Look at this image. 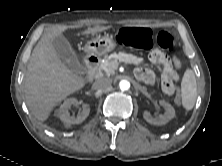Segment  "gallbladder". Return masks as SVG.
Listing matches in <instances>:
<instances>
[{"label": "gallbladder", "instance_id": "1", "mask_svg": "<svg viewBox=\"0 0 222 166\" xmlns=\"http://www.w3.org/2000/svg\"><path fill=\"white\" fill-rule=\"evenodd\" d=\"M52 44L57 55L68 67L77 71L81 70L82 67L75 51L72 49L69 41L63 35H58L55 37Z\"/></svg>", "mask_w": 222, "mask_h": 166}]
</instances>
